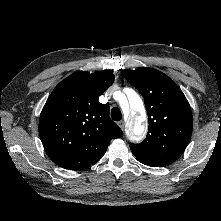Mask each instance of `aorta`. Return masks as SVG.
Returning a JSON list of instances; mask_svg holds the SVG:
<instances>
[{"label": "aorta", "mask_w": 221, "mask_h": 221, "mask_svg": "<svg viewBox=\"0 0 221 221\" xmlns=\"http://www.w3.org/2000/svg\"><path fill=\"white\" fill-rule=\"evenodd\" d=\"M128 98L134 115L129 118L127 134L131 140H140L147 129L145 108L142 99L135 91L131 90ZM120 105L125 113H129L126 100H122Z\"/></svg>", "instance_id": "obj_1"}]
</instances>
